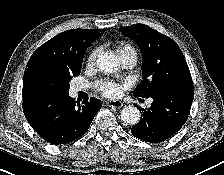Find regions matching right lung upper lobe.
Instances as JSON below:
<instances>
[{
    "mask_svg": "<svg viewBox=\"0 0 224 175\" xmlns=\"http://www.w3.org/2000/svg\"><path fill=\"white\" fill-rule=\"evenodd\" d=\"M105 30L74 29L60 33L30 57L23 76L22 95L36 91L38 76L47 69L74 67L82 63L87 47Z\"/></svg>",
    "mask_w": 224,
    "mask_h": 175,
    "instance_id": "right-lung-upper-lobe-1",
    "label": "right lung upper lobe"
}]
</instances>
